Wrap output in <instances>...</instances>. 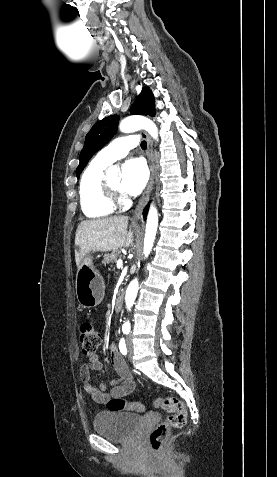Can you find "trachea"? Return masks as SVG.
<instances>
[{
	"mask_svg": "<svg viewBox=\"0 0 277 477\" xmlns=\"http://www.w3.org/2000/svg\"><path fill=\"white\" fill-rule=\"evenodd\" d=\"M146 147H147L146 141H142V142H141V148H142L143 150H145Z\"/></svg>",
	"mask_w": 277,
	"mask_h": 477,
	"instance_id": "trachea-1",
	"label": "trachea"
}]
</instances>
